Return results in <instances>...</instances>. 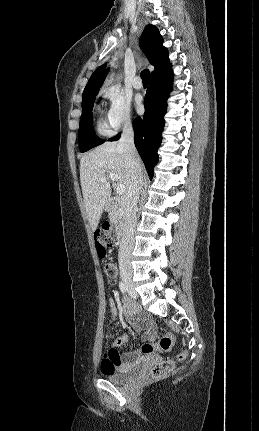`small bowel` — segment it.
I'll return each instance as SVG.
<instances>
[{"label":"small bowel","instance_id":"small-bowel-1","mask_svg":"<svg viewBox=\"0 0 259 431\" xmlns=\"http://www.w3.org/2000/svg\"><path fill=\"white\" fill-rule=\"evenodd\" d=\"M107 304L109 307L111 319L115 321L118 316V309L116 306V302L113 298H109L107 301ZM122 313L130 321L132 327H134L135 329H143L149 332L153 330L152 324L148 320L134 318L136 314V310L130 307L128 304L122 309ZM117 326L118 327L120 326L119 323H117ZM107 338L113 341L114 347L109 349L103 355V358L101 361V370L103 373L110 372L116 369L117 367L123 366L127 364L130 359L138 356L137 351L134 350L133 348L125 355L121 354L119 350L116 348V347L122 346L128 341V335L125 332H122V334L119 337H115L114 335L110 334L107 336Z\"/></svg>","mask_w":259,"mask_h":431}]
</instances>
